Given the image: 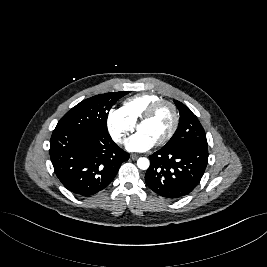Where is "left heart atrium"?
<instances>
[{
    "label": "left heart atrium",
    "instance_id": "obj_1",
    "mask_svg": "<svg viewBox=\"0 0 267 267\" xmlns=\"http://www.w3.org/2000/svg\"><path fill=\"white\" fill-rule=\"evenodd\" d=\"M155 141L143 132H137L126 141V148L129 151L143 152L155 145Z\"/></svg>",
    "mask_w": 267,
    "mask_h": 267
}]
</instances>
